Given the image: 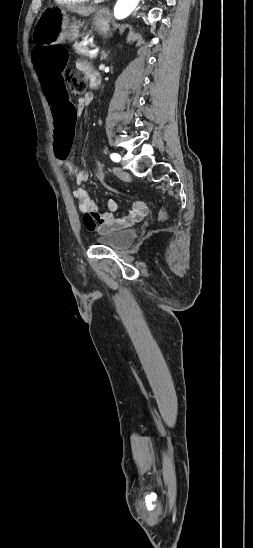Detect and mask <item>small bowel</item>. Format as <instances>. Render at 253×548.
Listing matches in <instances>:
<instances>
[{
    "label": "small bowel",
    "mask_w": 253,
    "mask_h": 548,
    "mask_svg": "<svg viewBox=\"0 0 253 548\" xmlns=\"http://www.w3.org/2000/svg\"><path fill=\"white\" fill-rule=\"evenodd\" d=\"M78 66L88 76H95L92 68L88 63L79 62ZM93 98V94L87 93L79 99L76 106L77 116L80 111L91 105V103L93 102ZM75 122L76 121H74V123ZM56 161L59 165L65 166L68 169L70 175L74 176L75 181L78 185H81L82 183L87 181V171L79 169L78 166L71 162L70 158H56ZM73 197L79 209L86 213L84 217V223L86 228L89 231H97L98 233H105L129 227L137 221L141 220L147 213V206L144 202L134 201L130 209L124 215L116 216L115 212L117 210V203L115 200L109 199L107 203L108 209L101 210L97 203L93 199H91L86 191L81 187H78L73 191Z\"/></svg>",
    "instance_id": "obj_1"
}]
</instances>
